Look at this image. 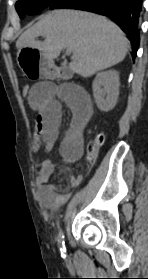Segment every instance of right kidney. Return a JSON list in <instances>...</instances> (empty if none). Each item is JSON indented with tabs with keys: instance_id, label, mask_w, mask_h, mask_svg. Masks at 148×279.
Returning <instances> with one entry per match:
<instances>
[{
	"instance_id": "ca27d5eb",
	"label": "right kidney",
	"mask_w": 148,
	"mask_h": 279,
	"mask_svg": "<svg viewBox=\"0 0 148 279\" xmlns=\"http://www.w3.org/2000/svg\"><path fill=\"white\" fill-rule=\"evenodd\" d=\"M119 74L115 70L100 72L96 75L93 84V96L99 110H112L119 96Z\"/></svg>"
}]
</instances>
